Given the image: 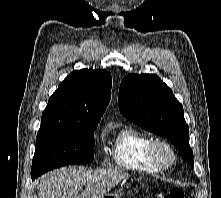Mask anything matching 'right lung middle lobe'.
Segmentation results:
<instances>
[{
  "label": "right lung middle lobe",
  "instance_id": "1",
  "mask_svg": "<svg viewBox=\"0 0 221 198\" xmlns=\"http://www.w3.org/2000/svg\"><path fill=\"white\" fill-rule=\"evenodd\" d=\"M96 127L86 131L39 130L31 178L61 166L92 162Z\"/></svg>",
  "mask_w": 221,
  "mask_h": 198
}]
</instances>
